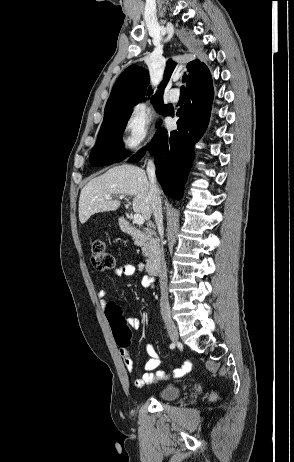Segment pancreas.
<instances>
[{
  "mask_svg": "<svg viewBox=\"0 0 294 462\" xmlns=\"http://www.w3.org/2000/svg\"><path fill=\"white\" fill-rule=\"evenodd\" d=\"M136 244H138L142 248V253L145 257L150 254L149 244L146 242H141L139 240H135Z\"/></svg>",
  "mask_w": 294,
  "mask_h": 462,
  "instance_id": "1",
  "label": "pancreas"
}]
</instances>
